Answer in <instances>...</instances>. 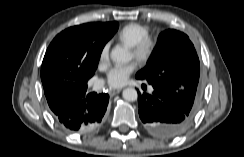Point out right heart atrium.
<instances>
[{"instance_id": "obj_1", "label": "right heart atrium", "mask_w": 244, "mask_h": 157, "mask_svg": "<svg viewBox=\"0 0 244 157\" xmlns=\"http://www.w3.org/2000/svg\"><path fill=\"white\" fill-rule=\"evenodd\" d=\"M109 48H110V44L106 43L103 45V47L100 50L99 58H98V66L100 68H105L109 64L110 61Z\"/></svg>"}]
</instances>
